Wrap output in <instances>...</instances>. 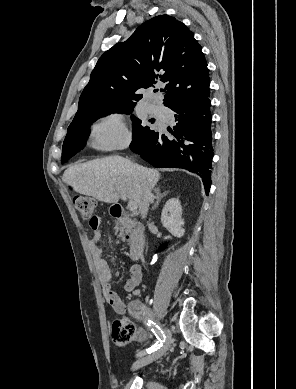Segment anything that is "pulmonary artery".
<instances>
[{
	"label": "pulmonary artery",
	"instance_id": "obj_1",
	"mask_svg": "<svg viewBox=\"0 0 296 389\" xmlns=\"http://www.w3.org/2000/svg\"><path fill=\"white\" fill-rule=\"evenodd\" d=\"M148 109L151 113L155 115H161L163 113L162 107L159 106L158 104H154V103L149 104Z\"/></svg>",
	"mask_w": 296,
	"mask_h": 389
}]
</instances>
